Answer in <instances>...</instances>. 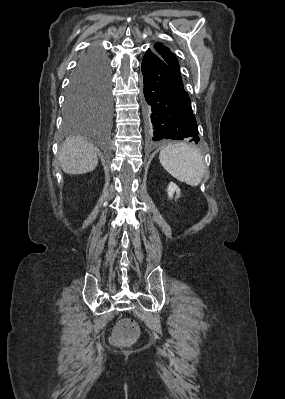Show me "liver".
I'll use <instances>...</instances> for the list:
<instances>
[{
  "label": "liver",
  "mask_w": 285,
  "mask_h": 399,
  "mask_svg": "<svg viewBox=\"0 0 285 399\" xmlns=\"http://www.w3.org/2000/svg\"><path fill=\"white\" fill-rule=\"evenodd\" d=\"M98 153V148L82 137H69L59 149L58 160L65 173L84 174L97 167Z\"/></svg>",
  "instance_id": "obj_1"
}]
</instances>
